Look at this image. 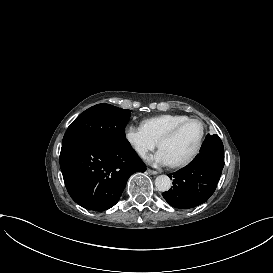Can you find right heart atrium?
I'll use <instances>...</instances> for the list:
<instances>
[{"mask_svg":"<svg viewBox=\"0 0 273 273\" xmlns=\"http://www.w3.org/2000/svg\"><path fill=\"white\" fill-rule=\"evenodd\" d=\"M126 138L141 158L147 157L158 146V141L143 124L129 125L126 130Z\"/></svg>","mask_w":273,"mask_h":273,"instance_id":"d8ad5b80","label":"right heart atrium"}]
</instances>
